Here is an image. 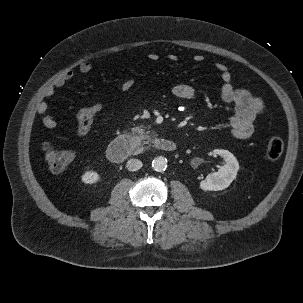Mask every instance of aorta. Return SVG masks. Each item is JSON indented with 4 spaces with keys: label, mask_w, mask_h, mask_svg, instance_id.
<instances>
[{
    "label": "aorta",
    "mask_w": 303,
    "mask_h": 303,
    "mask_svg": "<svg viewBox=\"0 0 303 303\" xmlns=\"http://www.w3.org/2000/svg\"><path fill=\"white\" fill-rule=\"evenodd\" d=\"M152 167L155 171L157 172H163L166 170L167 168V159L164 157H156L153 161H152Z\"/></svg>",
    "instance_id": "762f6f07"
}]
</instances>
